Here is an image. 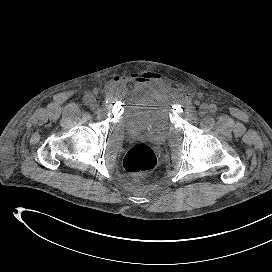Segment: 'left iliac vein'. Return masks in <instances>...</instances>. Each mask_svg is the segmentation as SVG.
Listing matches in <instances>:
<instances>
[{"label": "left iliac vein", "instance_id": "4c4485c4", "mask_svg": "<svg viewBox=\"0 0 272 272\" xmlns=\"http://www.w3.org/2000/svg\"><path fill=\"white\" fill-rule=\"evenodd\" d=\"M207 111H208V106L207 105H202L201 108H200L199 114L201 116H204L207 113Z\"/></svg>", "mask_w": 272, "mask_h": 272}]
</instances>
